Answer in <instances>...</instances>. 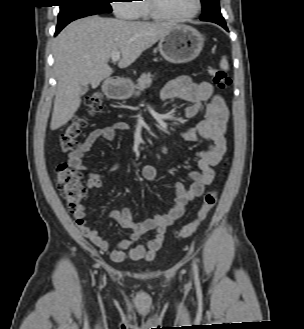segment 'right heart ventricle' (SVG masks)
Masks as SVG:
<instances>
[{"instance_id":"e07e8e85","label":"right heart ventricle","mask_w":304,"mask_h":329,"mask_svg":"<svg viewBox=\"0 0 304 329\" xmlns=\"http://www.w3.org/2000/svg\"><path fill=\"white\" fill-rule=\"evenodd\" d=\"M140 4H136V19L149 20L152 15L150 13L147 0H140Z\"/></svg>"}]
</instances>
